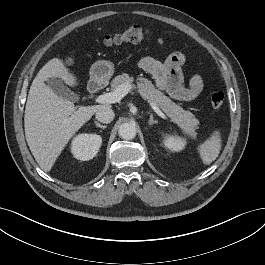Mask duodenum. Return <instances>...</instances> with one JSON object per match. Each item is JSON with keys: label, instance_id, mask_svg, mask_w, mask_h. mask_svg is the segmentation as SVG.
Instances as JSON below:
<instances>
[{"label": "duodenum", "instance_id": "1", "mask_svg": "<svg viewBox=\"0 0 265 265\" xmlns=\"http://www.w3.org/2000/svg\"><path fill=\"white\" fill-rule=\"evenodd\" d=\"M101 84L97 80H93L90 82L88 86V90L90 93L94 94L100 90Z\"/></svg>", "mask_w": 265, "mask_h": 265}]
</instances>
